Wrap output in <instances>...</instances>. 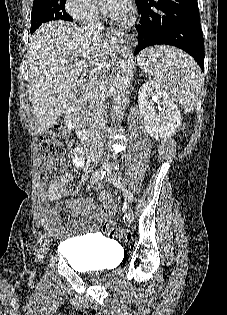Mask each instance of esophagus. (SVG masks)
I'll list each match as a JSON object with an SVG mask.
<instances>
[{"label": "esophagus", "instance_id": "34e87169", "mask_svg": "<svg viewBox=\"0 0 227 315\" xmlns=\"http://www.w3.org/2000/svg\"><path fill=\"white\" fill-rule=\"evenodd\" d=\"M107 37L111 38L112 40L121 42V35L120 32L117 30H109L107 33Z\"/></svg>", "mask_w": 227, "mask_h": 315}]
</instances>
